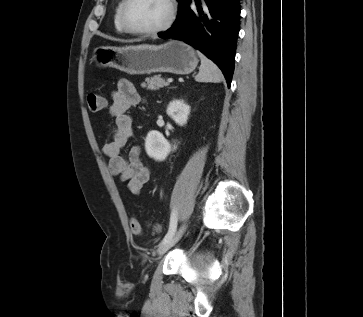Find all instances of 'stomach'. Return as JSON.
<instances>
[{"label": "stomach", "mask_w": 363, "mask_h": 317, "mask_svg": "<svg viewBox=\"0 0 363 317\" xmlns=\"http://www.w3.org/2000/svg\"><path fill=\"white\" fill-rule=\"evenodd\" d=\"M93 59L98 67H113L128 74L168 72L185 75L198 64L194 49L178 40L158 46L98 47Z\"/></svg>", "instance_id": "obj_1"}]
</instances>
